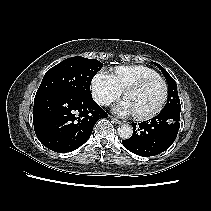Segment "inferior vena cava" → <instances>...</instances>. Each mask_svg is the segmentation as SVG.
<instances>
[{"label":"inferior vena cava","mask_w":211,"mask_h":211,"mask_svg":"<svg viewBox=\"0 0 211 211\" xmlns=\"http://www.w3.org/2000/svg\"><path fill=\"white\" fill-rule=\"evenodd\" d=\"M110 103H111V100H109V99H106V100H105V104H106V105H108V104H110Z\"/></svg>","instance_id":"1"}]
</instances>
